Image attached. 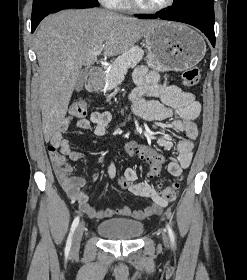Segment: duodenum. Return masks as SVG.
I'll list each match as a JSON object with an SVG mask.
<instances>
[{
    "mask_svg": "<svg viewBox=\"0 0 247 280\" xmlns=\"http://www.w3.org/2000/svg\"><path fill=\"white\" fill-rule=\"evenodd\" d=\"M103 77L101 68H93L87 79L86 87L89 91H97L100 88Z\"/></svg>",
    "mask_w": 247,
    "mask_h": 280,
    "instance_id": "410a0bca",
    "label": "duodenum"
}]
</instances>
